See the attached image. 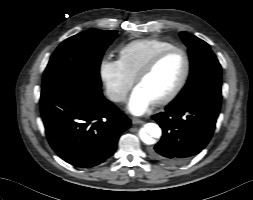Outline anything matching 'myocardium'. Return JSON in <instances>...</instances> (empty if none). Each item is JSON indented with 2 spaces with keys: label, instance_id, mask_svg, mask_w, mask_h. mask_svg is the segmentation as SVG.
I'll return each instance as SVG.
<instances>
[{
  "label": "myocardium",
  "instance_id": "myocardium-1",
  "mask_svg": "<svg viewBox=\"0 0 253 200\" xmlns=\"http://www.w3.org/2000/svg\"><path fill=\"white\" fill-rule=\"evenodd\" d=\"M176 52L182 54V56L184 57V61H185L184 73H183L179 83L168 95H166L164 98L154 102V104L156 106H164V105L169 104L181 93V91L185 87V85L188 81L189 75H190V71H191V61H190V57H189L188 53L184 49L179 48V47H172V48L166 49V50L158 53L157 55H155L145 66H143L140 69V71L135 76V83L138 86L139 82L143 78L148 76L150 73H152L164 58H166L170 54L176 53Z\"/></svg>",
  "mask_w": 253,
  "mask_h": 200
}]
</instances>
